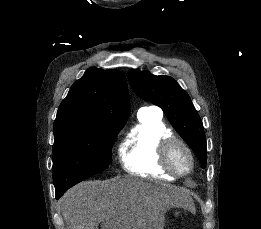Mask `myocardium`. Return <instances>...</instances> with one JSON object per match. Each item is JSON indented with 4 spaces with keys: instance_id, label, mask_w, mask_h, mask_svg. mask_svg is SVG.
Listing matches in <instances>:
<instances>
[{
    "instance_id": "1",
    "label": "myocardium",
    "mask_w": 261,
    "mask_h": 229,
    "mask_svg": "<svg viewBox=\"0 0 261 229\" xmlns=\"http://www.w3.org/2000/svg\"><path fill=\"white\" fill-rule=\"evenodd\" d=\"M178 147H181L182 149H184V151L186 152V154L188 156L189 165L185 170H178L173 165L172 154H173V151ZM160 152H161L162 165L173 176H176V177L186 176L189 173H191V171L193 170L194 156H193L190 146L185 141L178 139L176 137L166 139L161 145Z\"/></svg>"
}]
</instances>
